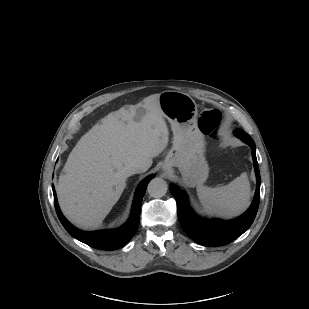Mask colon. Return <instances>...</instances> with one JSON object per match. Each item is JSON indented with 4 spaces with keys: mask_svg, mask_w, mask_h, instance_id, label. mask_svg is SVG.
Masks as SVG:
<instances>
[{
    "mask_svg": "<svg viewBox=\"0 0 309 309\" xmlns=\"http://www.w3.org/2000/svg\"><path fill=\"white\" fill-rule=\"evenodd\" d=\"M220 123L221 115L216 109H203L198 118V128L205 134H215Z\"/></svg>",
    "mask_w": 309,
    "mask_h": 309,
    "instance_id": "colon-1",
    "label": "colon"
}]
</instances>
